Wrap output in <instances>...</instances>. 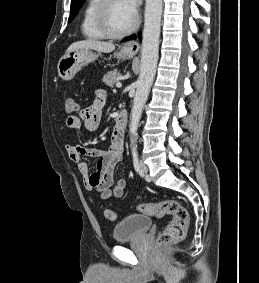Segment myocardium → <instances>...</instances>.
<instances>
[{
    "label": "myocardium",
    "mask_w": 259,
    "mask_h": 283,
    "mask_svg": "<svg viewBox=\"0 0 259 283\" xmlns=\"http://www.w3.org/2000/svg\"><path fill=\"white\" fill-rule=\"evenodd\" d=\"M113 1L114 0H101L97 9L96 21L98 29L105 37L120 39L131 34L137 28L139 20L138 16L135 14L132 24L126 30L121 32L114 31L109 22V10Z\"/></svg>",
    "instance_id": "1"
}]
</instances>
